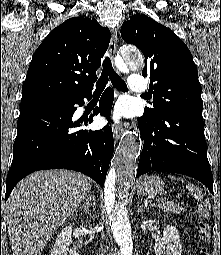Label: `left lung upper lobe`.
<instances>
[{"instance_id":"left-lung-upper-lobe-1","label":"left lung upper lobe","mask_w":221,"mask_h":255,"mask_svg":"<svg viewBox=\"0 0 221 255\" xmlns=\"http://www.w3.org/2000/svg\"><path fill=\"white\" fill-rule=\"evenodd\" d=\"M121 34L126 43L137 46L145 56L142 75L150 78L153 103L144 108V115L157 119L167 112H180L203 120L198 71L183 41L144 14L124 22Z\"/></svg>"}]
</instances>
